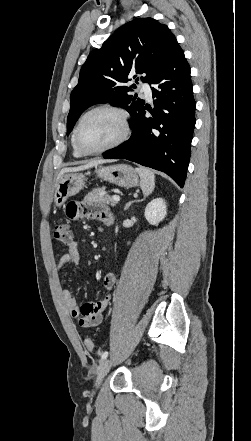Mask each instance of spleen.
I'll return each instance as SVG.
<instances>
[{
  "label": "spleen",
  "mask_w": 251,
  "mask_h": 441,
  "mask_svg": "<svg viewBox=\"0 0 251 441\" xmlns=\"http://www.w3.org/2000/svg\"><path fill=\"white\" fill-rule=\"evenodd\" d=\"M136 171L140 176V187L142 189L143 195L144 196L150 195L155 188L154 173L150 169L144 167H138L136 168Z\"/></svg>",
  "instance_id": "obj_1"
}]
</instances>
